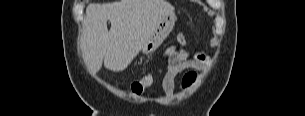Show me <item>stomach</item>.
I'll return each instance as SVG.
<instances>
[{
  "label": "stomach",
  "mask_w": 305,
  "mask_h": 116,
  "mask_svg": "<svg viewBox=\"0 0 305 116\" xmlns=\"http://www.w3.org/2000/svg\"><path fill=\"white\" fill-rule=\"evenodd\" d=\"M175 21H176V16L174 13L163 17L161 21L158 23L155 31L153 32L149 40L143 45L141 49L142 53L144 54L153 53L173 30Z\"/></svg>",
  "instance_id": "1"
}]
</instances>
